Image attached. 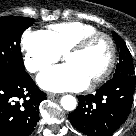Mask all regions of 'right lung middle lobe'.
Listing matches in <instances>:
<instances>
[{"label":"right lung middle lobe","mask_w":136,"mask_h":136,"mask_svg":"<svg viewBox=\"0 0 136 136\" xmlns=\"http://www.w3.org/2000/svg\"><path fill=\"white\" fill-rule=\"evenodd\" d=\"M34 19L18 16L0 18V78L18 77L24 73L20 50L22 33Z\"/></svg>","instance_id":"obj_1"}]
</instances>
